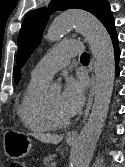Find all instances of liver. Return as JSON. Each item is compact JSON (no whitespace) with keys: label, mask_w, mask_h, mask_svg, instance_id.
<instances>
[{"label":"liver","mask_w":125,"mask_h":167,"mask_svg":"<svg viewBox=\"0 0 125 167\" xmlns=\"http://www.w3.org/2000/svg\"><path fill=\"white\" fill-rule=\"evenodd\" d=\"M32 135L44 143L58 144L63 139L61 135H57V134L34 133Z\"/></svg>","instance_id":"6515ba94"}]
</instances>
